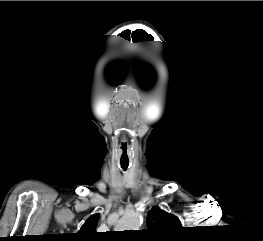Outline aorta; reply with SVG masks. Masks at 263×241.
I'll return each mask as SVG.
<instances>
[{
	"instance_id": "1",
	"label": "aorta",
	"mask_w": 263,
	"mask_h": 241,
	"mask_svg": "<svg viewBox=\"0 0 263 241\" xmlns=\"http://www.w3.org/2000/svg\"><path fill=\"white\" fill-rule=\"evenodd\" d=\"M142 224V215L139 212H131L125 215L118 224L121 230H136Z\"/></svg>"
}]
</instances>
